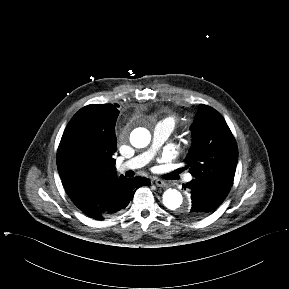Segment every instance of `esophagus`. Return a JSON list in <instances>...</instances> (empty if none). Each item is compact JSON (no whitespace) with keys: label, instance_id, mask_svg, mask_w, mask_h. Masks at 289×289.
I'll return each instance as SVG.
<instances>
[{"label":"esophagus","instance_id":"obj_1","mask_svg":"<svg viewBox=\"0 0 289 289\" xmlns=\"http://www.w3.org/2000/svg\"><path fill=\"white\" fill-rule=\"evenodd\" d=\"M154 182L155 184L158 186V187H165L167 186V183L161 179H154Z\"/></svg>","mask_w":289,"mask_h":289}]
</instances>
